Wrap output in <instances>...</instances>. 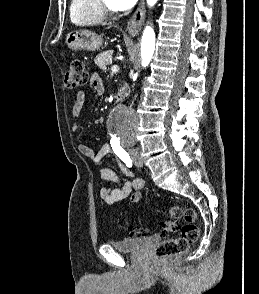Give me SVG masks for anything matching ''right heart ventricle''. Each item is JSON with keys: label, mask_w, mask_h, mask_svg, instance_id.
Listing matches in <instances>:
<instances>
[{"label": "right heart ventricle", "mask_w": 259, "mask_h": 294, "mask_svg": "<svg viewBox=\"0 0 259 294\" xmlns=\"http://www.w3.org/2000/svg\"><path fill=\"white\" fill-rule=\"evenodd\" d=\"M70 19L77 26L97 25L104 21L96 0H71Z\"/></svg>", "instance_id": "obj_1"}]
</instances>
